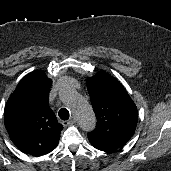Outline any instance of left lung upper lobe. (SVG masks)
Masks as SVG:
<instances>
[{"instance_id": "obj_1", "label": "left lung upper lobe", "mask_w": 171, "mask_h": 171, "mask_svg": "<svg viewBox=\"0 0 171 171\" xmlns=\"http://www.w3.org/2000/svg\"><path fill=\"white\" fill-rule=\"evenodd\" d=\"M86 84L98 120L96 128L88 134L89 141L112 150L124 146L137 125L134 102L116 78L103 72L87 79Z\"/></svg>"}]
</instances>
